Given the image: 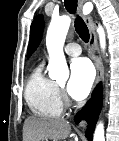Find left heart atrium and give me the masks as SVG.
<instances>
[{
	"mask_svg": "<svg viewBox=\"0 0 119 141\" xmlns=\"http://www.w3.org/2000/svg\"><path fill=\"white\" fill-rule=\"evenodd\" d=\"M94 70L86 58H78L70 64V79L67 92L75 100L84 99L90 92L94 82Z\"/></svg>",
	"mask_w": 119,
	"mask_h": 141,
	"instance_id": "left-heart-atrium-1",
	"label": "left heart atrium"
}]
</instances>
